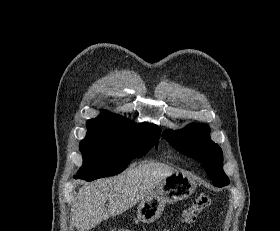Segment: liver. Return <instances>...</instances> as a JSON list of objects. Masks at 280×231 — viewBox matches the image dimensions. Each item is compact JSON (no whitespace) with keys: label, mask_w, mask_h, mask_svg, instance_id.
<instances>
[{"label":"liver","mask_w":280,"mask_h":231,"mask_svg":"<svg viewBox=\"0 0 280 231\" xmlns=\"http://www.w3.org/2000/svg\"><path fill=\"white\" fill-rule=\"evenodd\" d=\"M166 163L129 165L115 177H104L80 187L73 209V223L79 231H88L102 219L123 213L140 199H145L156 185L173 173ZM109 201L108 209L105 207Z\"/></svg>","instance_id":"6515ba94"}]
</instances>
